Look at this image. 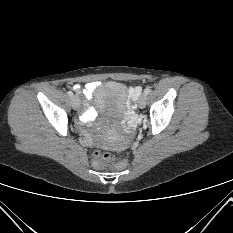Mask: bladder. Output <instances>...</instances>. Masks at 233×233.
I'll return each mask as SVG.
<instances>
[{"label": "bladder", "instance_id": "bladder-1", "mask_svg": "<svg viewBox=\"0 0 233 233\" xmlns=\"http://www.w3.org/2000/svg\"><path fill=\"white\" fill-rule=\"evenodd\" d=\"M96 107L106 115H122L127 107L128 91L127 87L116 81H110L100 85L94 96ZM100 142L108 148H121V140L104 137Z\"/></svg>", "mask_w": 233, "mask_h": 233}]
</instances>
